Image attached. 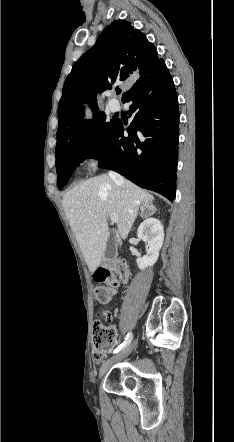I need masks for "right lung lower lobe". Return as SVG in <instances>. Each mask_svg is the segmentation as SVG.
<instances>
[{
  "label": "right lung lower lobe",
  "mask_w": 234,
  "mask_h": 442,
  "mask_svg": "<svg viewBox=\"0 0 234 442\" xmlns=\"http://www.w3.org/2000/svg\"><path fill=\"white\" fill-rule=\"evenodd\" d=\"M123 102H131L134 119L126 128L116 120L98 155L99 166L114 170L136 185L173 201L179 141V109L172 77L163 62L136 82Z\"/></svg>",
  "instance_id": "right-lung-lower-lobe-1"
}]
</instances>
